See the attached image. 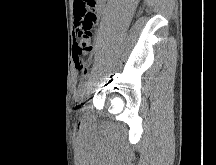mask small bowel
I'll list each match as a JSON object with an SVG mask.
<instances>
[{"instance_id": "small-bowel-1", "label": "small bowel", "mask_w": 216, "mask_h": 165, "mask_svg": "<svg viewBox=\"0 0 216 165\" xmlns=\"http://www.w3.org/2000/svg\"><path fill=\"white\" fill-rule=\"evenodd\" d=\"M105 0H74L75 28L78 27L86 12H92L97 21L103 13Z\"/></svg>"}]
</instances>
